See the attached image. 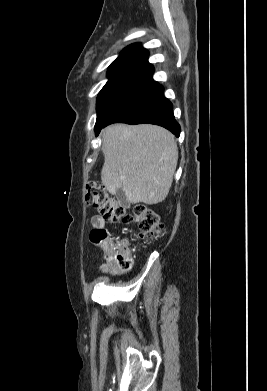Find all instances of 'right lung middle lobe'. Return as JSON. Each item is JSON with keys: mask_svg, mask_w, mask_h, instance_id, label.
<instances>
[{"mask_svg": "<svg viewBox=\"0 0 267 391\" xmlns=\"http://www.w3.org/2000/svg\"><path fill=\"white\" fill-rule=\"evenodd\" d=\"M152 81L143 76H112L98 94L95 131L112 113Z\"/></svg>", "mask_w": 267, "mask_h": 391, "instance_id": "right-lung-middle-lobe-1", "label": "right lung middle lobe"}]
</instances>
